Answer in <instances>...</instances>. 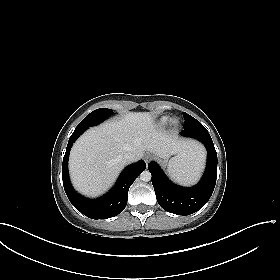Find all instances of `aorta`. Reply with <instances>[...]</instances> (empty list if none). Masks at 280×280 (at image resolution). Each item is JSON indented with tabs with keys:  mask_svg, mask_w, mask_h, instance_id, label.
Returning <instances> with one entry per match:
<instances>
[{
	"mask_svg": "<svg viewBox=\"0 0 280 280\" xmlns=\"http://www.w3.org/2000/svg\"><path fill=\"white\" fill-rule=\"evenodd\" d=\"M151 177V173L148 170H145L140 174V179L144 182L150 181Z\"/></svg>",
	"mask_w": 280,
	"mask_h": 280,
	"instance_id": "1",
	"label": "aorta"
}]
</instances>
